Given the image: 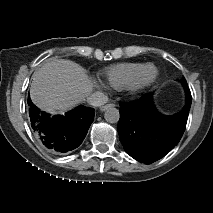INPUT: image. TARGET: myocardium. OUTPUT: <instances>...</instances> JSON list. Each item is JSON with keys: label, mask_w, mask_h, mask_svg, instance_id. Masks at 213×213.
Masks as SVG:
<instances>
[{"label": "myocardium", "mask_w": 213, "mask_h": 213, "mask_svg": "<svg viewBox=\"0 0 213 213\" xmlns=\"http://www.w3.org/2000/svg\"><path fill=\"white\" fill-rule=\"evenodd\" d=\"M148 74V76H146ZM158 71L153 64L145 66L126 84L125 91L129 95H138L150 87L157 79Z\"/></svg>", "instance_id": "f54148a6"}]
</instances>
